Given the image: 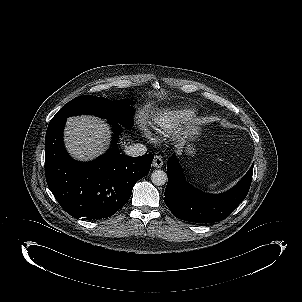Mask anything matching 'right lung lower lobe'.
I'll return each mask as SVG.
<instances>
[{
    "instance_id": "1",
    "label": "right lung lower lobe",
    "mask_w": 302,
    "mask_h": 302,
    "mask_svg": "<svg viewBox=\"0 0 302 302\" xmlns=\"http://www.w3.org/2000/svg\"><path fill=\"white\" fill-rule=\"evenodd\" d=\"M66 119L50 122L45 138V174L49 189L61 207L75 218H108L122 208L136 181L149 173L153 154L123 155L113 139L105 155L79 163L70 158L63 144ZM115 135L121 126L109 121ZM117 136H115L116 138Z\"/></svg>"
}]
</instances>
